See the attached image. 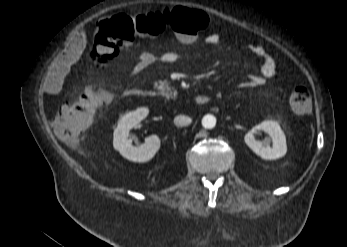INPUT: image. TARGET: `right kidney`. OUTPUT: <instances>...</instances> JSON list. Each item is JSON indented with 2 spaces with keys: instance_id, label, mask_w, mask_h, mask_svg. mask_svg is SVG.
I'll list each match as a JSON object with an SVG mask.
<instances>
[{
  "instance_id": "1",
  "label": "right kidney",
  "mask_w": 347,
  "mask_h": 247,
  "mask_svg": "<svg viewBox=\"0 0 347 247\" xmlns=\"http://www.w3.org/2000/svg\"><path fill=\"white\" fill-rule=\"evenodd\" d=\"M148 115L147 108H139L122 116L114 130L113 147L120 154L133 162L144 163L151 160L160 148V140L156 135L146 138L139 146H133L129 139L130 130Z\"/></svg>"
}]
</instances>
